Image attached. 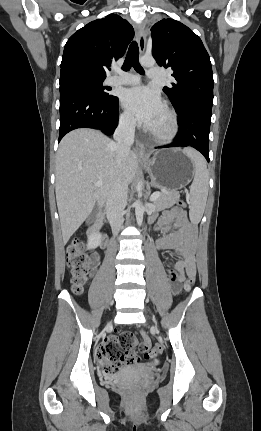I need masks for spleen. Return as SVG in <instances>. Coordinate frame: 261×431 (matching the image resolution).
<instances>
[{"label":"spleen","mask_w":261,"mask_h":431,"mask_svg":"<svg viewBox=\"0 0 261 431\" xmlns=\"http://www.w3.org/2000/svg\"><path fill=\"white\" fill-rule=\"evenodd\" d=\"M183 153L194 163L195 174L190 187V211L193 215L201 217L204 213L207 196L209 175L205 159L191 148L183 149Z\"/></svg>","instance_id":"3e777b00"}]
</instances>
